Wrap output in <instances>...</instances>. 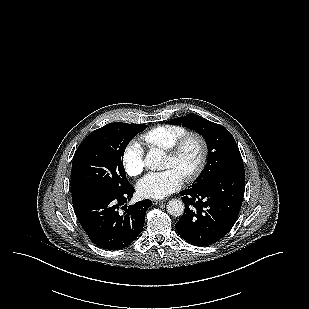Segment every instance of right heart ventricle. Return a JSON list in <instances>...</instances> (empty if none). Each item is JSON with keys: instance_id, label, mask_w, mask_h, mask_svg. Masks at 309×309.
I'll list each match as a JSON object with an SVG mask.
<instances>
[{"instance_id": "obj_1", "label": "right heart ventricle", "mask_w": 309, "mask_h": 309, "mask_svg": "<svg viewBox=\"0 0 309 309\" xmlns=\"http://www.w3.org/2000/svg\"><path fill=\"white\" fill-rule=\"evenodd\" d=\"M187 132V128L183 126L164 124L155 126L144 132L141 135V139L151 149L166 151Z\"/></svg>"}]
</instances>
